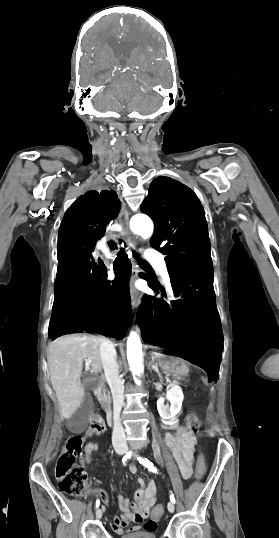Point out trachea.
Instances as JSON below:
<instances>
[{
    "label": "trachea",
    "instance_id": "1",
    "mask_svg": "<svg viewBox=\"0 0 279 538\" xmlns=\"http://www.w3.org/2000/svg\"><path fill=\"white\" fill-rule=\"evenodd\" d=\"M108 245H109L111 248H113V249H116V248H117V244H116L114 241H112V240H110V241L108 242ZM132 253H133L134 258H135L137 261H139L141 264H146V263H147V262H145L144 260H142V259L139 257V255H137V253H136L134 250H132Z\"/></svg>",
    "mask_w": 279,
    "mask_h": 538
}]
</instances>
